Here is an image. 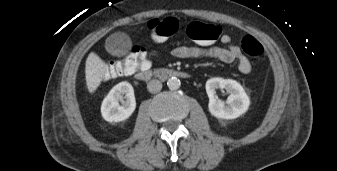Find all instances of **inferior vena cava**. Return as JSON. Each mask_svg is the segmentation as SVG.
I'll use <instances>...</instances> for the list:
<instances>
[{"instance_id": "inferior-vena-cava-1", "label": "inferior vena cava", "mask_w": 337, "mask_h": 171, "mask_svg": "<svg viewBox=\"0 0 337 171\" xmlns=\"http://www.w3.org/2000/svg\"><path fill=\"white\" fill-rule=\"evenodd\" d=\"M147 89L150 93H157L162 89V83L159 80H151L147 84Z\"/></svg>"}]
</instances>
